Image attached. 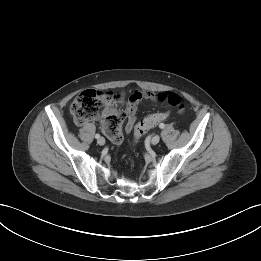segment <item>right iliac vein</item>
<instances>
[{"label": "right iliac vein", "mask_w": 261, "mask_h": 261, "mask_svg": "<svg viewBox=\"0 0 261 261\" xmlns=\"http://www.w3.org/2000/svg\"><path fill=\"white\" fill-rule=\"evenodd\" d=\"M97 143L99 145H104L105 144V139L103 137H100V138H98Z\"/></svg>", "instance_id": "63e3f726"}]
</instances>
